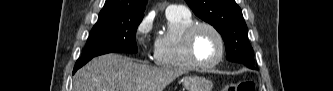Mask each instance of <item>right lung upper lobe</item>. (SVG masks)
Masks as SVG:
<instances>
[{
    "instance_id": "obj_1",
    "label": "right lung upper lobe",
    "mask_w": 333,
    "mask_h": 91,
    "mask_svg": "<svg viewBox=\"0 0 333 91\" xmlns=\"http://www.w3.org/2000/svg\"><path fill=\"white\" fill-rule=\"evenodd\" d=\"M146 3L147 0H106L103 9L99 13V18L144 16Z\"/></svg>"
}]
</instances>
